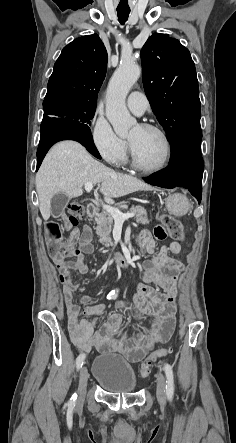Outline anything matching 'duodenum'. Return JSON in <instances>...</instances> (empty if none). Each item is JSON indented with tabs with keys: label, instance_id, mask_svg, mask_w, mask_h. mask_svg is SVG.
<instances>
[{
	"label": "duodenum",
	"instance_id": "1",
	"mask_svg": "<svg viewBox=\"0 0 236 443\" xmlns=\"http://www.w3.org/2000/svg\"><path fill=\"white\" fill-rule=\"evenodd\" d=\"M98 208L94 202H89L87 205V215L93 218L97 215ZM105 258L112 259L116 264L121 267L127 266L131 262L130 256L126 254L106 255Z\"/></svg>",
	"mask_w": 236,
	"mask_h": 443
}]
</instances>
